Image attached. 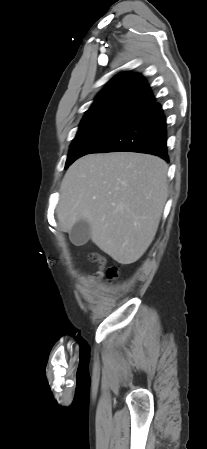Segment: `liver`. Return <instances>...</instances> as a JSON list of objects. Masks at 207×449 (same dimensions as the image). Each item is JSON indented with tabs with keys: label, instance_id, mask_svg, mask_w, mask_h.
<instances>
[{
	"label": "liver",
	"instance_id": "liver-1",
	"mask_svg": "<svg viewBox=\"0 0 207 449\" xmlns=\"http://www.w3.org/2000/svg\"><path fill=\"white\" fill-rule=\"evenodd\" d=\"M167 170L164 160L147 154L81 157L60 186L59 228L68 232L84 220L103 252L120 264L136 262L156 235L168 196Z\"/></svg>",
	"mask_w": 207,
	"mask_h": 449
}]
</instances>
